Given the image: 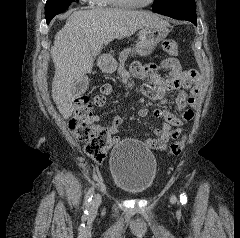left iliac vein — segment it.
Masks as SVG:
<instances>
[{"label":"left iliac vein","instance_id":"4c4485c4","mask_svg":"<svg viewBox=\"0 0 240 238\" xmlns=\"http://www.w3.org/2000/svg\"><path fill=\"white\" fill-rule=\"evenodd\" d=\"M176 201H177L176 196H175V195H172V197H171V202H172V203H176Z\"/></svg>","mask_w":240,"mask_h":238}]
</instances>
